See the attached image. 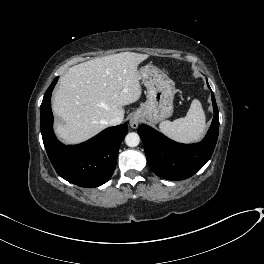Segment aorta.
I'll list each match as a JSON object with an SVG mask.
<instances>
[{"mask_svg":"<svg viewBox=\"0 0 264 264\" xmlns=\"http://www.w3.org/2000/svg\"><path fill=\"white\" fill-rule=\"evenodd\" d=\"M125 143L129 147H136L140 143V137L137 133H128L125 137Z\"/></svg>","mask_w":264,"mask_h":264,"instance_id":"aorta-1","label":"aorta"}]
</instances>
